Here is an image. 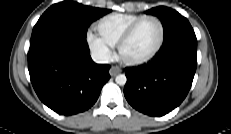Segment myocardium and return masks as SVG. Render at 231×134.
I'll use <instances>...</instances> for the list:
<instances>
[{
	"instance_id": "obj_1",
	"label": "myocardium",
	"mask_w": 231,
	"mask_h": 134,
	"mask_svg": "<svg viewBox=\"0 0 231 134\" xmlns=\"http://www.w3.org/2000/svg\"><path fill=\"white\" fill-rule=\"evenodd\" d=\"M147 20H153L155 21L160 28V38L158 41L157 46L155 47V49L146 57L140 58V59H126L125 57H123L122 55V50L124 48V46L129 42V40L133 37V35L135 34L136 30L138 29V27L145 21ZM164 40H165V27L163 22L156 16L153 15H146L141 17L140 19H138L136 22H134L127 30L126 32L123 34V36L120 38L118 44H117V49L118 52L120 54V56L122 57L123 61L130 66H139V65H143L146 64L148 62H150L152 59H154L156 57V55L160 52L163 44H164Z\"/></svg>"
}]
</instances>
